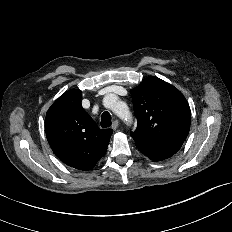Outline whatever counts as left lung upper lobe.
<instances>
[{"instance_id": "1", "label": "left lung upper lobe", "mask_w": 232, "mask_h": 232, "mask_svg": "<svg viewBox=\"0 0 232 232\" xmlns=\"http://www.w3.org/2000/svg\"><path fill=\"white\" fill-rule=\"evenodd\" d=\"M137 128L131 132L135 143L161 145L182 144L190 124V107L183 94L174 86L148 77L131 90Z\"/></svg>"}]
</instances>
